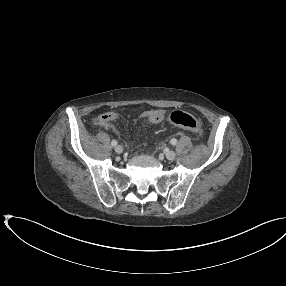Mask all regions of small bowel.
I'll return each instance as SVG.
<instances>
[{"label": "small bowel", "instance_id": "obj_1", "mask_svg": "<svg viewBox=\"0 0 286 286\" xmlns=\"http://www.w3.org/2000/svg\"><path fill=\"white\" fill-rule=\"evenodd\" d=\"M118 117L115 112H104L95 119L94 123L105 128H111L118 134L119 131L113 125ZM140 118L151 124H159L164 120L165 112L163 110H147L140 115Z\"/></svg>", "mask_w": 286, "mask_h": 286}]
</instances>
